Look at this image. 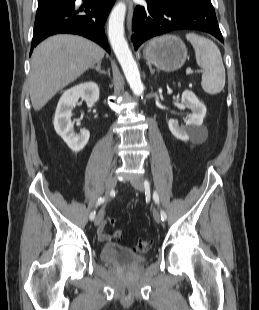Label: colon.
Instances as JSON below:
<instances>
[{
	"label": "colon",
	"instance_id": "colon-1",
	"mask_svg": "<svg viewBox=\"0 0 259 310\" xmlns=\"http://www.w3.org/2000/svg\"><path fill=\"white\" fill-rule=\"evenodd\" d=\"M108 223L110 225H115L116 220L114 218H109ZM121 236H122V231L120 229H117L113 232L114 238L119 239V238H121ZM150 249H151V242L148 240H142V241L138 242L134 247V250L137 253H142V254L147 253Z\"/></svg>",
	"mask_w": 259,
	"mask_h": 310
}]
</instances>
